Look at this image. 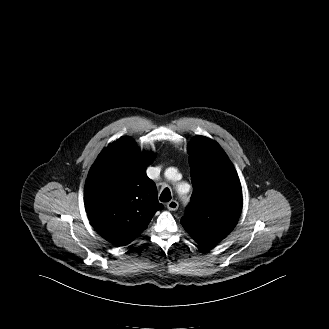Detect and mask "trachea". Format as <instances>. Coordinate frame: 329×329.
<instances>
[{"instance_id": "obj_1", "label": "trachea", "mask_w": 329, "mask_h": 329, "mask_svg": "<svg viewBox=\"0 0 329 329\" xmlns=\"http://www.w3.org/2000/svg\"><path fill=\"white\" fill-rule=\"evenodd\" d=\"M171 192H170V190L168 189V188H165L163 191H162V193H161V195H160V201L161 202H168V201H170L171 200Z\"/></svg>"}]
</instances>
